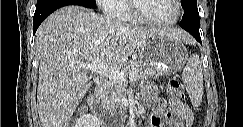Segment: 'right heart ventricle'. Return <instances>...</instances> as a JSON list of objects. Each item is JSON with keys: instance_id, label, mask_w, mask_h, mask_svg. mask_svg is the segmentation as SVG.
<instances>
[{"instance_id": "1", "label": "right heart ventricle", "mask_w": 243, "mask_h": 127, "mask_svg": "<svg viewBox=\"0 0 243 127\" xmlns=\"http://www.w3.org/2000/svg\"><path fill=\"white\" fill-rule=\"evenodd\" d=\"M118 2L115 3L116 8V17L121 21L126 22H136L137 20L132 15L130 10V2L131 0H117Z\"/></svg>"}]
</instances>
